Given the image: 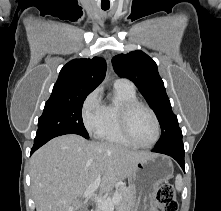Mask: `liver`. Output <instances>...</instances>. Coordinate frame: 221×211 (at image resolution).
Segmentation results:
<instances>
[{"label":"liver","mask_w":221,"mask_h":211,"mask_svg":"<svg viewBox=\"0 0 221 211\" xmlns=\"http://www.w3.org/2000/svg\"><path fill=\"white\" fill-rule=\"evenodd\" d=\"M149 155L73 134L56 137L31 158L36 211H78L83 204L79 198L98 178L100 193H107Z\"/></svg>","instance_id":"obj_1"}]
</instances>
